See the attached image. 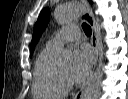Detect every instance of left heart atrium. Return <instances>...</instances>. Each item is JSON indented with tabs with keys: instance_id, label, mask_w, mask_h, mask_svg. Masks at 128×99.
I'll return each instance as SVG.
<instances>
[{
	"instance_id": "left-heart-atrium-1",
	"label": "left heart atrium",
	"mask_w": 128,
	"mask_h": 99,
	"mask_svg": "<svg viewBox=\"0 0 128 99\" xmlns=\"http://www.w3.org/2000/svg\"><path fill=\"white\" fill-rule=\"evenodd\" d=\"M92 61L89 49L82 47L75 51L70 77L74 82L82 81L88 74Z\"/></svg>"
}]
</instances>
